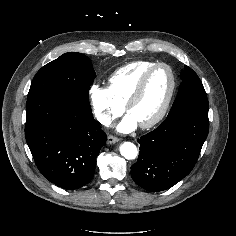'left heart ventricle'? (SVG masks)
Returning a JSON list of instances; mask_svg holds the SVG:
<instances>
[{
    "instance_id": "1",
    "label": "left heart ventricle",
    "mask_w": 236,
    "mask_h": 236,
    "mask_svg": "<svg viewBox=\"0 0 236 236\" xmlns=\"http://www.w3.org/2000/svg\"><path fill=\"white\" fill-rule=\"evenodd\" d=\"M171 86V77L166 68H158L148 79L138 101L130 108L139 124L152 120L161 110Z\"/></svg>"
}]
</instances>
